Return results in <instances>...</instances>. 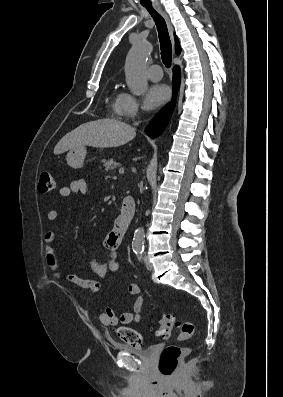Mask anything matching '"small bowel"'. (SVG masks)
<instances>
[{"label": "small bowel", "instance_id": "obj_1", "mask_svg": "<svg viewBox=\"0 0 283 397\" xmlns=\"http://www.w3.org/2000/svg\"><path fill=\"white\" fill-rule=\"evenodd\" d=\"M88 188V184L84 179L73 180L69 186H64L59 189V195L61 197H70L74 194H85ZM47 218L50 222H54L59 218L58 210H50L47 214ZM123 235L116 231L111 230L105 238L104 244L107 248V259L101 261L94 258L90 261V269L97 274L99 277H105L109 273L117 274L121 268L119 261L118 246L120 245ZM56 235L53 231H47L44 234L43 241L45 263L48 269L52 272L56 279H64L80 288L89 289L91 292L96 293L101 288V283L95 280L84 279L74 273L63 274L59 269L58 258L56 256L54 242ZM128 293L132 296H136L132 309L125 311L120 315H117L111 308H106L99 314V320L102 325L106 327L116 326L118 324L127 325L132 322L139 323L141 320V312L144 305V298L140 295L141 288L137 283L129 284Z\"/></svg>", "mask_w": 283, "mask_h": 397}]
</instances>
